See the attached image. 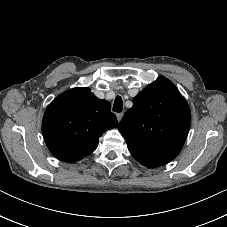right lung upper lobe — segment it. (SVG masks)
Returning <instances> with one entry per match:
<instances>
[{"label":"right lung upper lobe","mask_w":227,"mask_h":227,"mask_svg":"<svg viewBox=\"0 0 227 227\" xmlns=\"http://www.w3.org/2000/svg\"><path fill=\"white\" fill-rule=\"evenodd\" d=\"M116 126L108 101L97 98L89 88H73L48 105L42 133L57 159L73 163L90 155L99 137Z\"/></svg>","instance_id":"1"}]
</instances>
